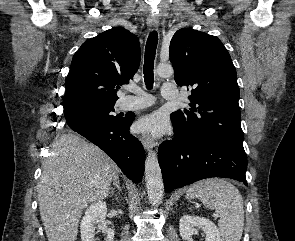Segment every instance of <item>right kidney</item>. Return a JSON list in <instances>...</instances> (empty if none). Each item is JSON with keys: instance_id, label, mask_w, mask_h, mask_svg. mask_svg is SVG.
I'll return each mask as SVG.
<instances>
[{"instance_id": "1", "label": "right kidney", "mask_w": 295, "mask_h": 241, "mask_svg": "<svg viewBox=\"0 0 295 241\" xmlns=\"http://www.w3.org/2000/svg\"><path fill=\"white\" fill-rule=\"evenodd\" d=\"M106 213L107 206L102 201H98L87 208L80 225L82 241H96V228L105 234L104 241H113L114 231L111 228H107V222L105 221Z\"/></svg>"}]
</instances>
